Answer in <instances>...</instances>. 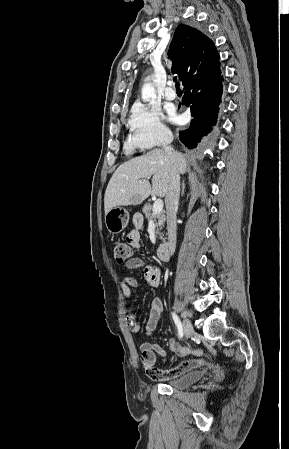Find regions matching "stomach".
Listing matches in <instances>:
<instances>
[{
    "mask_svg": "<svg viewBox=\"0 0 289 449\" xmlns=\"http://www.w3.org/2000/svg\"><path fill=\"white\" fill-rule=\"evenodd\" d=\"M128 222L129 213L121 206L114 207L105 214L106 227L112 234H118L123 231L128 225Z\"/></svg>",
    "mask_w": 289,
    "mask_h": 449,
    "instance_id": "obj_1",
    "label": "stomach"
}]
</instances>
